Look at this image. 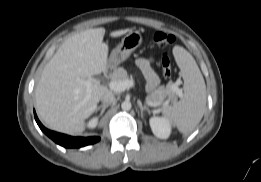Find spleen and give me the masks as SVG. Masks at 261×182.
<instances>
[{"label": "spleen", "instance_id": "3e777b00", "mask_svg": "<svg viewBox=\"0 0 261 182\" xmlns=\"http://www.w3.org/2000/svg\"><path fill=\"white\" fill-rule=\"evenodd\" d=\"M173 55L184 80L180 101L163 109L164 117L183 134L191 133L201 121L206 107V85L192 55L183 47L175 46Z\"/></svg>", "mask_w": 261, "mask_h": 182}]
</instances>
